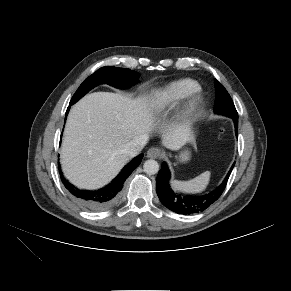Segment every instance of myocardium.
<instances>
[{"label":"myocardium","mask_w":291,"mask_h":291,"mask_svg":"<svg viewBox=\"0 0 291 291\" xmlns=\"http://www.w3.org/2000/svg\"><path fill=\"white\" fill-rule=\"evenodd\" d=\"M204 106V97L200 90L188 96L180 111L179 119L181 122H191Z\"/></svg>","instance_id":"f54148a6"}]
</instances>
